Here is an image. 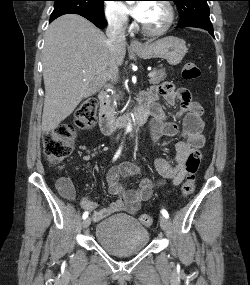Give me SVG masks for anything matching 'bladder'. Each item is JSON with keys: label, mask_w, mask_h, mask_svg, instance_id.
I'll list each match as a JSON object with an SVG mask.
<instances>
[{"label": "bladder", "mask_w": 250, "mask_h": 285, "mask_svg": "<svg viewBox=\"0 0 250 285\" xmlns=\"http://www.w3.org/2000/svg\"><path fill=\"white\" fill-rule=\"evenodd\" d=\"M95 237L104 250L118 256L137 253L149 241L148 231L128 215H115L99 222Z\"/></svg>", "instance_id": "31cf9c89"}]
</instances>
